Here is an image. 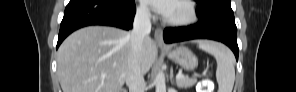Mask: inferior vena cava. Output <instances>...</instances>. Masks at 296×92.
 <instances>
[{
  "label": "inferior vena cava",
  "instance_id": "602c4592",
  "mask_svg": "<svg viewBox=\"0 0 296 92\" xmlns=\"http://www.w3.org/2000/svg\"><path fill=\"white\" fill-rule=\"evenodd\" d=\"M150 12L146 5L137 8L133 29L130 32L131 53L128 59L126 84L129 92H144L145 81L141 71V52L144 39L151 31Z\"/></svg>",
  "mask_w": 296,
  "mask_h": 92
}]
</instances>
